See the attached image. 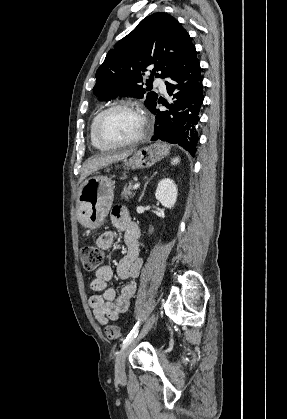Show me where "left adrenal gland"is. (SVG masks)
I'll return each instance as SVG.
<instances>
[{
    "label": "left adrenal gland",
    "instance_id": "left-adrenal-gland-1",
    "mask_svg": "<svg viewBox=\"0 0 287 419\" xmlns=\"http://www.w3.org/2000/svg\"><path fill=\"white\" fill-rule=\"evenodd\" d=\"M156 174H157V172H155L149 179H147V181L145 182V184H144V187H143V191H142V193H141V196H140V198H139V202L142 200V198H143V196H144V194H145V190H146V187H147V185H148V183L156 176Z\"/></svg>",
    "mask_w": 287,
    "mask_h": 419
}]
</instances>
